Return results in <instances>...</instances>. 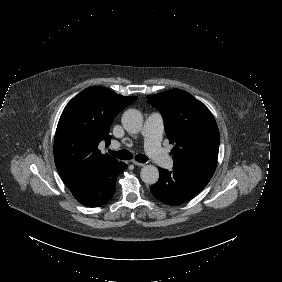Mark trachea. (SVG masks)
<instances>
[{
	"label": "trachea",
	"instance_id": "1",
	"mask_svg": "<svg viewBox=\"0 0 282 282\" xmlns=\"http://www.w3.org/2000/svg\"><path fill=\"white\" fill-rule=\"evenodd\" d=\"M109 153L120 159V160H131L132 159V154L130 151L128 150H125V149H122V150H119V151H113V150H109ZM136 161L140 162V163H146L148 161V157L145 156L144 154H138L136 157H135Z\"/></svg>",
	"mask_w": 282,
	"mask_h": 282
}]
</instances>
